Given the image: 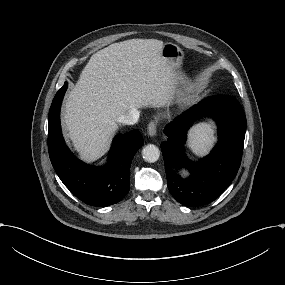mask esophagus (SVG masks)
Here are the masks:
<instances>
[{
    "instance_id": "obj_1",
    "label": "esophagus",
    "mask_w": 285,
    "mask_h": 285,
    "mask_svg": "<svg viewBox=\"0 0 285 285\" xmlns=\"http://www.w3.org/2000/svg\"><path fill=\"white\" fill-rule=\"evenodd\" d=\"M156 131H157V121L153 120L148 124V134L150 136H154L156 135Z\"/></svg>"
}]
</instances>
